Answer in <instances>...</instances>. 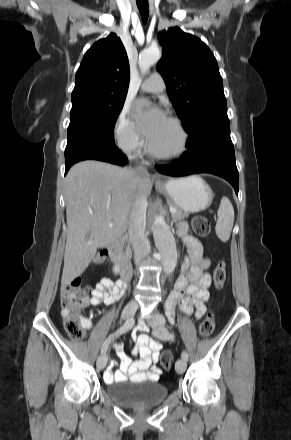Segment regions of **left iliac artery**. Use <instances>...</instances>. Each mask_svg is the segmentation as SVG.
<instances>
[{
    "mask_svg": "<svg viewBox=\"0 0 291 440\" xmlns=\"http://www.w3.org/2000/svg\"><path fill=\"white\" fill-rule=\"evenodd\" d=\"M162 333H163V335H164V337H165L166 339H168V340H173V339H174V335H173L172 333L168 332L167 330H163ZM181 357H182L185 361H187V360H188V353H187L186 351H183L182 354H181Z\"/></svg>",
    "mask_w": 291,
    "mask_h": 440,
    "instance_id": "1",
    "label": "left iliac artery"
}]
</instances>
